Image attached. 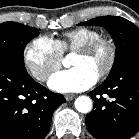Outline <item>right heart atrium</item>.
<instances>
[{
	"instance_id": "1",
	"label": "right heart atrium",
	"mask_w": 139,
	"mask_h": 139,
	"mask_svg": "<svg viewBox=\"0 0 139 139\" xmlns=\"http://www.w3.org/2000/svg\"><path fill=\"white\" fill-rule=\"evenodd\" d=\"M23 59L30 74L44 82L60 68L62 53L53 39L39 36L26 45Z\"/></svg>"
}]
</instances>
